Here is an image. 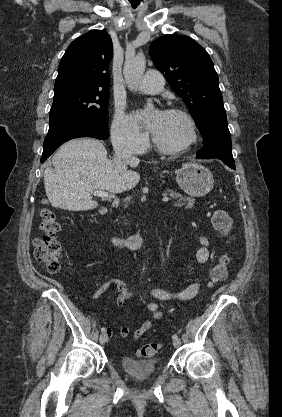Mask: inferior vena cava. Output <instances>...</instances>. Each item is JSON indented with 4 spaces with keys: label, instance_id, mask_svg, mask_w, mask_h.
Segmentation results:
<instances>
[{
    "label": "inferior vena cava",
    "instance_id": "602c4592",
    "mask_svg": "<svg viewBox=\"0 0 282 417\" xmlns=\"http://www.w3.org/2000/svg\"><path fill=\"white\" fill-rule=\"evenodd\" d=\"M115 150V158L114 160H119V162H125V164H129L131 160H136L135 156H132L129 148H127V144L124 142H114L113 144Z\"/></svg>",
    "mask_w": 282,
    "mask_h": 417
}]
</instances>
